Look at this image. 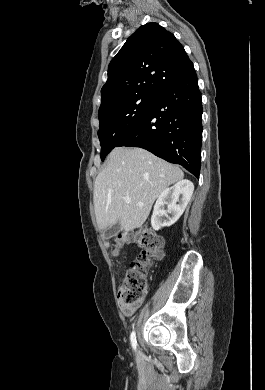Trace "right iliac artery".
<instances>
[{
    "instance_id": "1",
    "label": "right iliac artery",
    "mask_w": 265,
    "mask_h": 390,
    "mask_svg": "<svg viewBox=\"0 0 265 390\" xmlns=\"http://www.w3.org/2000/svg\"><path fill=\"white\" fill-rule=\"evenodd\" d=\"M130 341H131L133 349L136 350L137 341H136V333H135V331H132V333L130 335Z\"/></svg>"
}]
</instances>
